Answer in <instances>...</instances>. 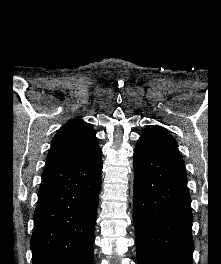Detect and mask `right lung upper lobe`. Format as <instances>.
Wrapping results in <instances>:
<instances>
[{"label":"right lung upper lobe","instance_id":"1","mask_svg":"<svg viewBox=\"0 0 221 264\" xmlns=\"http://www.w3.org/2000/svg\"><path fill=\"white\" fill-rule=\"evenodd\" d=\"M99 152L92 125L78 118L63 125L54 136L45 168L80 162Z\"/></svg>","mask_w":221,"mask_h":264}]
</instances>
